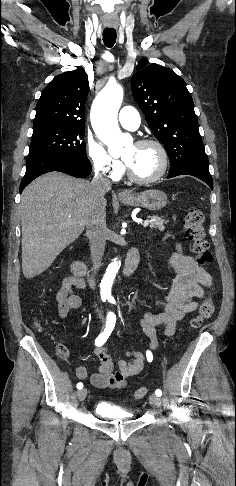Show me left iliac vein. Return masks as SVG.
<instances>
[{
  "label": "left iliac vein",
  "mask_w": 236,
  "mask_h": 486,
  "mask_svg": "<svg viewBox=\"0 0 236 486\" xmlns=\"http://www.w3.org/2000/svg\"><path fill=\"white\" fill-rule=\"evenodd\" d=\"M149 402L153 407H160L161 406V399L157 395H150Z\"/></svg>",
  "instance_id": "4c4485c4"
}]
</instances>
